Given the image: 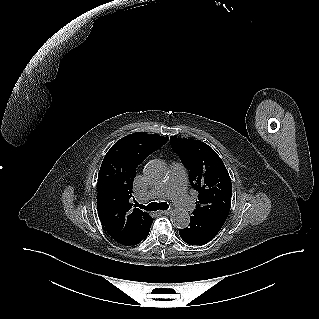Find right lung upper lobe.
<instances>
[{
    "mask_svg": "<svg viewBox=\"0 0 319 319\" xmlns=\"http://www.w3.org/2000/svg\"><path fill=\"white\" fill-rule=\"evenodd\" d=\"M168 137L137 132L117 141L105 155L98 174L97 210L108 234L130 246L153 219L133 208V180L136 167L168 141Z\"/></svg>",
    "mask_w": 319,
    "mask_h": 319,
    "instance_id": "obj_1",
    "label": "right lung upper lobe"
}]
</instances>
